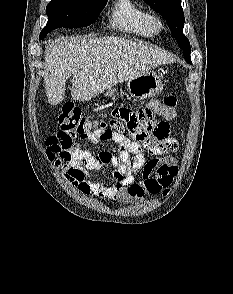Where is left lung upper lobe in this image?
Wrapping results in <instances>:
<instances>
[{"mask_svg":"<svg viewBox=\"0 0 233 294\" xmlns=\"http://www.w3.org/2000/svg\"><path fill=\"white\" fill-rule=\"evenodd\" d=\"M150 7L156 10L168 23L172 36L177 39V43L183 49L184 58L188 63L190 59V43L183 35V25L185 22L181 0H144Z\"/></svg>","mask_w":233,"mask_h":294,"instance_id":"obj_1","label":"left lung upper lobe"}]
</instances>
